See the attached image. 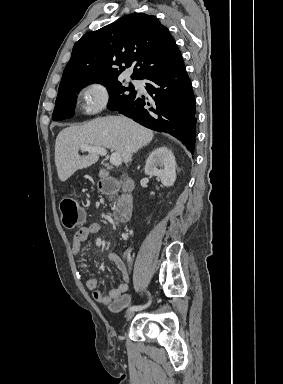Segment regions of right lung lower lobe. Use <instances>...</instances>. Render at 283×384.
<instances>
[{
	"mask_svg": "<svg viewBox=\"0 0 283 384\" xmlns=\"http://www.w3.org/2000/svg\"><path fill=\"white\" fill-rule=\"evenodd\" d=\"M148 100L137 95L111 108L141 125L179 139L193 154L196 141V108L185 65L146 79Z\"/></svg>",
	"mask_w": 283,
	"mask_h": 384,
	"instance_id": "98d812e1",
	"label": "right lung lower lobe"
}]
</instances>
